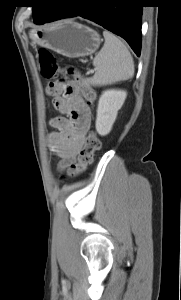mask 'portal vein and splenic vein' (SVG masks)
I'll return each mask as SVG.
<instances>
[{
    "instance_id": "1",
    "label": "portal vein and splenic vein",
    "mask_w": 181,
    "mask_h": 300,
    "mask_svg": "<svg viewBox=\"0 0 181 300\" xmlns=\"http://www.w3.org/2000/svg\"><path fill=\"white\" fill-rule=\"evenodd\" d=\"M91 73H94V70H89V71L87 72V75H89V74H91Z\"/></svg>"
}]
</instances>
